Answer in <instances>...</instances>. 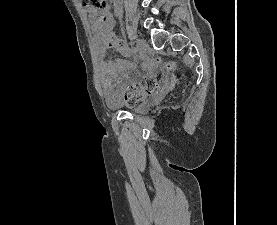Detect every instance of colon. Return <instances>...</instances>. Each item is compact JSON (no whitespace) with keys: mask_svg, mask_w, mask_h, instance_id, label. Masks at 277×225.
I'll return each instance as SVG.
<instances>
[{"mask_svg":"<svg viewBox=\"0 0 277 225\" xmlns=\"http://www.w3.org/2000/svg\"><path fill=\"white\" fill-rule=\"evenodd\" d=\"M81 4L99 14L106 10L105 0H80ZM166 68L171 69L173 63H166ZM162 79L153 75L146 77L141 83L125 88L121 93V98L127 104H134L146 96L155 94L161 86Z\"/></svg>","mask_w":277,"mask_h":225,"instance_id":"5ec220e1","label":"colon"}]
</instances>
